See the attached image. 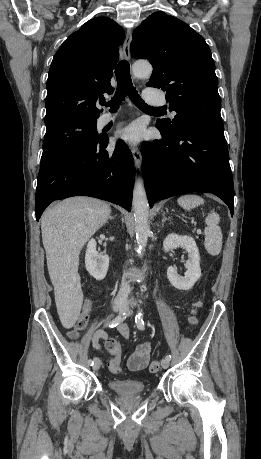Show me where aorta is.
<instances>
[{"instance_id":"obj_1","label":"aorta","mask_w":261,"mask_h":459,"mask_svg":"<svg viewBox=\"0 0 261 459\" xmlns=\"http://www.w3.org/2000/svg\"><path fill=\"white\" fill-rule=\"evenodd\" d=\"M132 71L135 77L144 78L150 76L152 73V66L146 62H136L133 64ZM133 210L138 253L142 255V251L146 247L148 236L150 234V226L149 205L144 183L141 179H138L134 185Z\"/></svg>"}]
</instances>
